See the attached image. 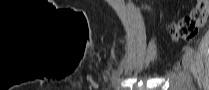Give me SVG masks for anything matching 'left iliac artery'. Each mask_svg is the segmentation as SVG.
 Returning a JSON list of instances; mask_svg holds the SVG:
<instances>
[{
    "mask_svg": "<svg viewBox=\"0 0 209 90\" xmlns=\"http://www.w3.org/2000/svg\"><path fill=\"white\" fill-rule=\"evenodd\" d=\"M184 49H185L186 54H187L189 57H192V56H193L194 51H193L192 47H190L189 45H186V46L184 47Z\"/></svg>",
    "mask_w": 209,
    "mask_h": 90,
    "instance_id": "44dca946",
    "label": "left iliac artery"
}]
</instances>
